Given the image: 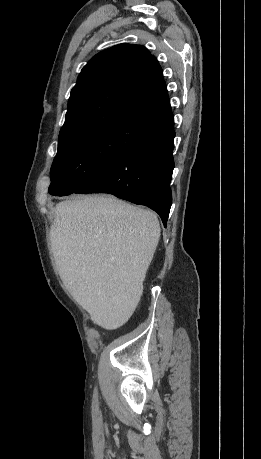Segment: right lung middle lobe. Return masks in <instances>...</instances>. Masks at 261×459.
Wrapping results in <instances>:
<instances>
[{"mask_svg": "<svg viewBox=\"0 0 261 459\" xmlns=\"http://www.w3.org/2000/svg\"><path fill=\"white\" fill-rule=\"evenodd\" d=\"M151 126L120 121L59 139L51 167L49 193L64 196L103 170L128 150Z\"/></svg>", "mask_w": 261, "mask_h": 459, "instance_id": "obj_1", "label": "right lung middle lobe"}]
</instances>
